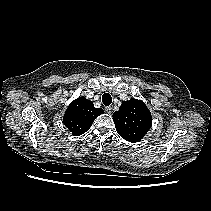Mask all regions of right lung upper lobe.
<instances>
[{"instance_id": "1", "label": "right lung upper lobe", "mask_w": 211, "mask_h": 211, "mask_svg": "<svg viewBox=\"0 0 211 211\" xmlns=\"http://www.w3.org/2000/svg\"><path fill=\"white\" fill-rule=\"evenodd\" d=\"M103 113V109L95 108L90 100L79 97L68 106L63 123L74 136H79L88 131L95 118Z\"/></svg>"}]
</instances>
